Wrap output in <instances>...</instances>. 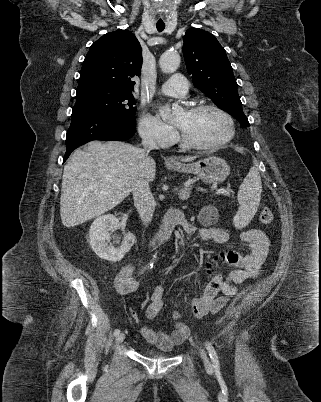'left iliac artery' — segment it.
I'll return each mask as SVG.
<instances>
[{"label": "left iliac artery", "mask_w": 321, "mask_h": 402, "mask_svg": "<svg viewBox=\"0 0 321 402\" xmlns=\"http://www.w3.org/2000/svg\"><path fill=\"white\" fill-rule=\"evenodd\" d=\"M205 346H206V349H207V351L209 353V356H210V358H211V360L213 362V365L218 366L219 365V360H218V356H217V353H216L214 347L208 341L205 343Z\"/></svg>", "instance_id": "1"}]
</instances>
